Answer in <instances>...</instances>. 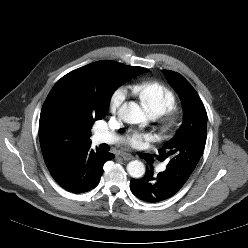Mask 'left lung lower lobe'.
I'll list each match as a JSON object with an SVG mask.
<instances>
[{
	"label": "left lung lower lobe",
	"instance_id": "1",
	"mask_svg": "<svg viewBox=\"0 0 248 248\" xmlns=\"http://www.w3.org/2000/svg\"><path fill=\"white\" fill-rule=\"evenodd\" d=\"M182 187L167 172H160L157 177L153 172L146 170L141 179H131L132 193L142 201L156 203L174 196Z\"/></svg>",
	"mask_w": 248,
	"mask_h": 248
}]
</instances>
